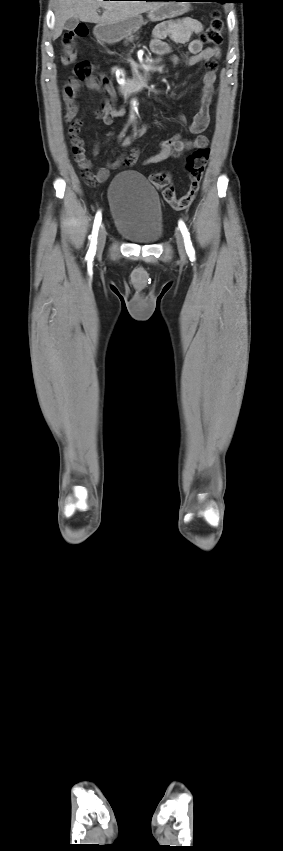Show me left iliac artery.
I'll list each match as a JSON object with an SVG mask.
<instances>
[{"instance_id":"1","label":"left iliac artery","mask_w":283,"mask_h":851,"mask_svg":"<svg viewBox=\"0 0 283 851\" xmlns=\"http://www.w3.org/2000/svg\"><path fill=\"white\" fill-rule=\"evenodd\" d=\"M179 228H180V230L183 234V237H184V242H185L187 254H188L189 257L193 258L194 254H195L194 248H193L192 242L190 240V234L188 232V229H187V227H186V225L183 221H179Z\"/></svg>"}]
</instances>
